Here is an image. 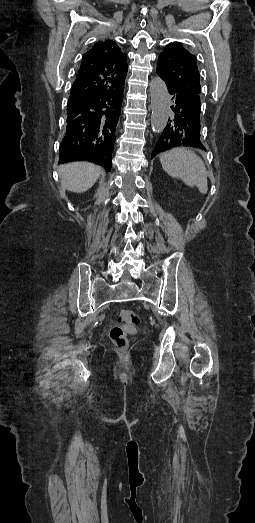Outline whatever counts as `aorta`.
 Segmentation results:
<instances>
[{
	"instance_id": "aorta-1",
	"label": "aorta",
	"mask_w": 255,
	"mask_h": 523,
	"mask_svg": "<svg viewBox=\"0 0 255 523\" xmlns=\"http://www.w3.org/2000/svg\"><path fill=\"white\" fill-rule=\"evenodd\" d=\"M149 89L152 109V130L155 133H161L169 118L170 98L165 83L159 77L151 79Z\"/></svg>"
}]
</instances>
